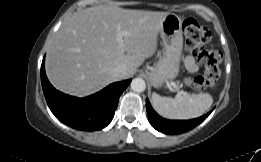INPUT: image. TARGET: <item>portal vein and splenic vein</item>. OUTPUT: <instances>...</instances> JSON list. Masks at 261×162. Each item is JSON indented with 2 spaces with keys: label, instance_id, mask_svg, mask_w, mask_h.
<instances>
[{
  "label": "portal vein and splenic vein",
  "instance_id": "18ae733b",
  "mask_svg": "<svg viewBox=\"0 0 261 162\" xmlns=\"http://www.w3.org/2000/svg\"><path fill=\"white\" fill-rule=\"evenodd\" d=\"M128 32H119L118 33V42L121 46H124L123 36L128 35ZM171 86L178 91L180 94H185L183 91H180L178 86L175 84V82H171Z\"/></svg>",
  "mask_w": 261,
  "mask_h": 162
}]
</instances>
